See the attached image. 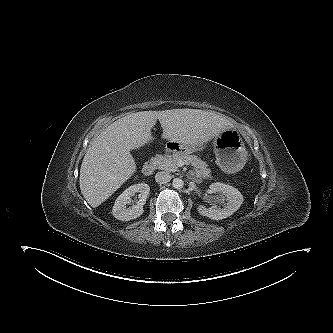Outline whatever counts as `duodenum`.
<instances>
[{
	"label": "duodenum",
	"mask_w": 333,
	"mask_h": 333,
	"mask_svg": "<svg viewBox=\"0 0 333 333\" xmlns=\"http://www.w3.org/2000/svg\"><path fill=\"white\" fill-rule=\"evenodd\" d=\"M164 154H157L156 156L152 157L150 160L144 163L142 167V172L150 175L154 169L161 163L163 160Z\"/></svg>",
	"instance_id": "1"
}]
</instances>
